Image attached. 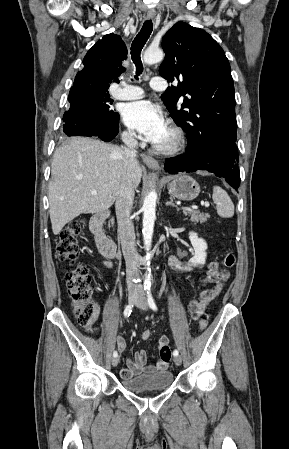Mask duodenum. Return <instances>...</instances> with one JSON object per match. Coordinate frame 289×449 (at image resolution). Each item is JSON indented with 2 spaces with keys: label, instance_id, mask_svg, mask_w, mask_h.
Wrapping results in <instances>:
<instances>
[{
  "label": "duodenum",
  "instance_id": "duodenum-1",
  "mask_svg": "<svg viewBox=\"0 0 289 449\" xmlns=\"http://www.w3.org/2000/svg\"><path fill=\"white\" fill-rule=\"evenodd\" d=\"M109 216L108 211L96 213L90 220V230L100 252L108 258L118 256L119 251L116 243L109 238L104 231V222Z\"/></svg>",
  "mask_w": 289,
  "mask_h": 449
}]
</instances>
